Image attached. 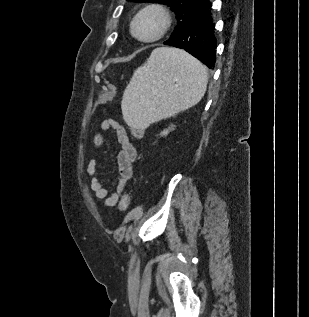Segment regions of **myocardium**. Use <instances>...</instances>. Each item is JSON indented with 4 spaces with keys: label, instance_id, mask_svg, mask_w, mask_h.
<instances>
[{
    "label": "myocardium",
    "instance_id": "myocardium-1",
    "mask_svg": "<svg viewBox=\"0 0 309 317\" xmlns=\"http://www.w3.org/2000/svg\"><path fill=\"white\" fill-rule=\"evenodd\" d=\"M146 14H154L159 18L160 24L156 33L150 37H143L139 33L138 24L140 19ZM171 16L170 13L161 5L151 4L143 7L138 13L135 15L132 21V32L133 35L140 41L150 43L155 42L161 39L166 32L169 30L171 26Z\"/></svg>",
    "mask_w": 309,
    "mask_h": 317
}]
</instances>
